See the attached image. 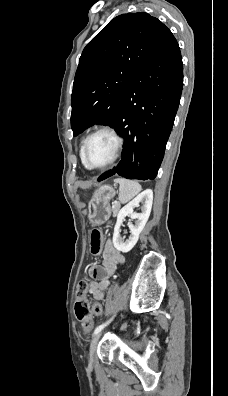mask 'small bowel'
Segmentation results:
<instances>
[{
  "instance_id": "c3829d8e",
  "label": "small bowel",
  "mask_w": 228,
  "mask_h": 396,
  "mask_svg": "<svg viewBox=\"0 0 228 396\" xmlns=\"http://www.w3.org/2000/svg\"><path fill=\"white\" fill-rule=\"evenodd\" d=\"M124 263V256L108 240L103 249L101 265L92 266L89 269L93 280L89 283L88 293L95 300L101 301L105 298V291L110 285L111 277L117 268Z\"/></svg>"
}]
</instances>
